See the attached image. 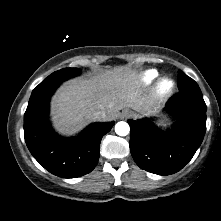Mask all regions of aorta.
Instances as JSON below:
<instances>
[{
	"instance_id": "762f6f07",
	"label": "aorta",
	"mask_w": 221,
	"mask_h": 221,
	"mask_svg": "<svg viewBox=\"0 0 221 221\" xmlns=\"http://www.w3.org/2000/svg\"><path fill=\"white\" fill-rule=\"evenodd\" d=\"M115 132L119 136H126L130 132V127L127 122L120 121L115 125Z\"/></svg>"
}]
</instances>
